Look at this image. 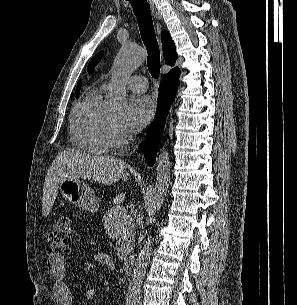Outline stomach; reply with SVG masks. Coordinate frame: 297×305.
I'll list each match as a JSON object with an SVG mask.
<instances>
[{
	"instance_id": "obj_1",
	"label": "stomach",
	"mask_w": 297,
	"mask_h": 305,
	"mask_svg": "<svg viewBox=\"0 0 297 305\" xmlns=\"http://www.w3.org/2000/svg\"><path fill=\"white\" fill-rule=\"evenodd\" d=\"M58 189L65 200L82 209L95 213L99 208L94 191L79 179L65 178Z\"/></svg>"
}]
</instances>
